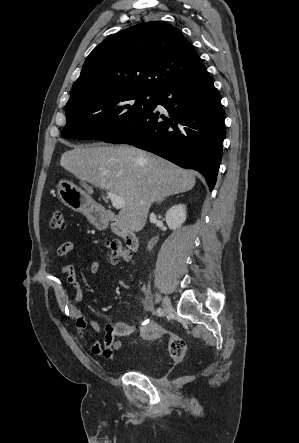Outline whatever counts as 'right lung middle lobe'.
<instances>
[{
	"instance_id": "1",
	"label": "right lung middle lobe",
	"mask_w": 299,
	"mask_h": 443,
	"mask_svg": "<svg viewBox=\"0 0 299 443\" xmlns=\"http://www.w3.org/2000/svg\"><path fill=\"white\" fill-rule=\"evenodd\" d=\"M155 93L121 91L106 93L66 105L67 123L62 136L69 139L105 140L131 120L150 111Z\"/></svg>"
}]
</instances>
